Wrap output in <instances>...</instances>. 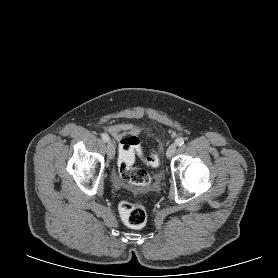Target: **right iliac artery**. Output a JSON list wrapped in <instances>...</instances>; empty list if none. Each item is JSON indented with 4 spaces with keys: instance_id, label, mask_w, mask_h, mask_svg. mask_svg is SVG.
<instances>
[{
    "instance_id": "obj_1",
    "label": "right iliac artery",
    "mask_w": 278,
    "mask_h": 278,
    "mask_svg": "<svg viewBox=\"0 0 278 278\" xmlns=\"http://www.w3.org/2000/svg\"><path fill=\"white\" fill-rule=\"evenodd\" d=\"M101 137L104 142H108L110 140V137L106 133L101 134Z\"/></svg>"
}]
</instances>
